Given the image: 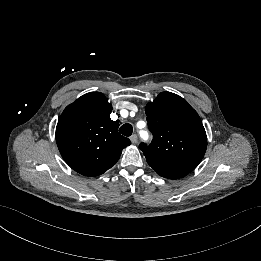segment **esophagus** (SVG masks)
Here are the masks:
<instances>
[{
  "mask_svg": "<svg viewBox=\"0 0 261 261\" xmlns=\"http://www.w3.org/2000/svg\"><path fill=\"white\" fill-rule=\"evenodd\" d=\"M130 140L132 143L136 144L138 142V137L136 134L130 136Z\"/></svg>",
  "mask_w": 261,
  "mask_h": 261,
  "instance_id": "obj_1",
  "label": "esophagus"
}]
</instances>
